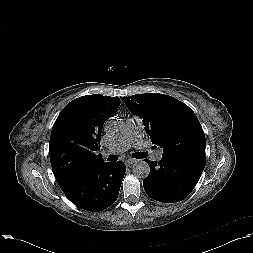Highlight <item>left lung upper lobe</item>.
Masks as SVG:
<instances>
[{"instance_id": "left-lung-upper-lobe-1", "label": "left lung upper lobe", "mask_w": 253, "mask_h": 253, "mask_svg": "<svg viewBox=\"0 0 253 253\" xmlns=\"http://www.w3.org/2000/svg\"><path fill=\"white\" fill-rule=\"evenodd\" d=\"M134 115L143 118L153 144L162 155L190 153L205 157V135L195 113L174 97L159 93L121 97Z\"/></svg>"}]
</instances>
